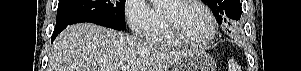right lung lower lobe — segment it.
<instances>
[{
	"instance_id": "1",
	"label": "right lung lower lobe",
	"mask_w": 301,
	"mask_h": 71,
	"mask_svg": "<svg viewBox=\"0 0 301 71\" xmlns=\"http://www.w3.org/2000/svg\"><path fill=\"white\" fill-rule=\"evenodd\" d=\"M67 26H56L55 29H54V32L52 34V37H51V42L54 41V39L57 37V35L63 30L65 29Z\"/></svg>"
}]
</instances>
